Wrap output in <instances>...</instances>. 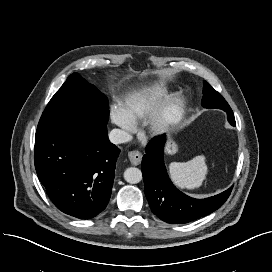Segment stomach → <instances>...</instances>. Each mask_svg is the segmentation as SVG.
<instances>
[{"label":"stomach","instance_id":"1","mask_svg":"<svg viewBox=\"0 0 272 272\" xmlns=\"http://www.w3.org/2000/svg\"><path fill=\"white\" fill-rule=\"evenodd\" d=\"M177 144L173 140H169V142L166 145V154L167 155H173L177 152Z\"/></svg>","mask_w":272,"mask_h":272}]
</instances>
